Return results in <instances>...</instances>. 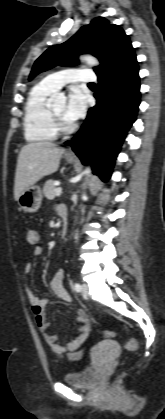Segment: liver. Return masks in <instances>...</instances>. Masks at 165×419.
<instances>
[{
  "label": "liver",
  "instance_id": "6515ba94",
  "mask_svg": "<svg viewBox=\"0 0 165 419\" xmlns=\"http://www.w3.org/2000/svg\"><path fill=\"white\" fill-rule=\"evenodd\" d=\"M65 149L51 142H34L22 147L17 161L14 198L40 179L56 172Z\"/></svg>",
  "mask_w": 165,
  "mask_h": 419
}]
</instances>
